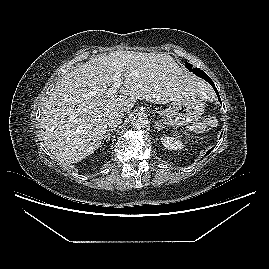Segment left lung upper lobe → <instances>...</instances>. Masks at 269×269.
<instances>
[{
	"instance_id": "obj_1",
	"label": "left lung upper lobe",
	"mask_w": 269,
	"mask_h": 269,
	"mask_svg": "<svg viewBox=\"0 0 269 269\" xmlns=\"http://www.w3.org/2000/svg\"><path fill=\"white\" fill-rule=\"evenodd\" d=\"M186 67L188 70H190L193 73H195L198 70V68H193V66L187 62H186Z\"/></svg>"
}]
</instances>
